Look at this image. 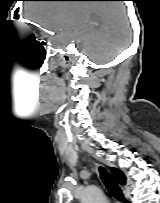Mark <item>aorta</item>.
I'll list each match as a JSON object with an SVG mask.
<instances>
[{
  "label": "aorta",
  "mask_w": 160,
  "mask_h": 203,
  "mask_svg": "<svg viewBox=\"0 0 160 203\" xmlns=\"http://www.w3.org/2000/svg\"><path fill=\"white\" fill-rule=\"evenodd\" d=\"M81 203H106L101 189L95 185L85 187L81 192Z\"/></svg>",
  "instance_id": "1"
}]
</instances>
